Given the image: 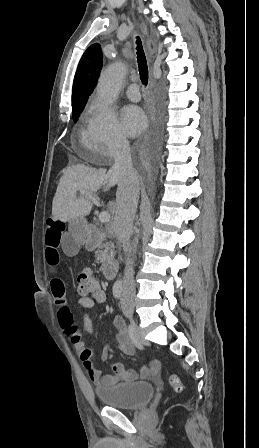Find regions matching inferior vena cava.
Masks as SVG:
<instances>
[{
    "instance_id": "1",
    "label": "inferior vena cava",
    "mask_w": 259,
    "mask_h": 448,
    "mask_svg": "<svg viewBox=\"0 0 259 448\" xmlns=\"http://www.w3.org/2000/svg\"><path fill=\"white\" fill-rule=\"evenodd\" d=\"M115 164L111 168V174L119 178V188L116 198V212L113 222L115 236L122 244V248L127 256L126 272L123 282L122 304H132L134 302L136 290L134 284V272L132 256L135 250L130 242L132 236L133 220L139 198V178L133 168L130 152V144L126 138H117L114 152Z\"/></svg>"
}]
</instances>
